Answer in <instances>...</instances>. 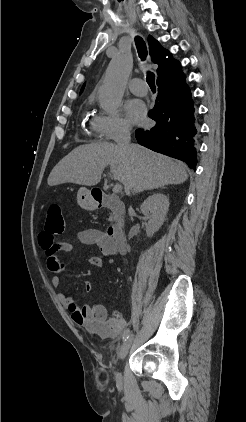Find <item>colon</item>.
<instances>
[{"instance_id": "obj_1", "label": "colon", "mask_w": 246, "mask_h": 422, "mask_svg": "<svg viewBox=\"0 0 246 422\" xmlns=\"http://www.w3.org/2000/svg\"><path fill=\"white\" fill-rule=\"evenodd\" d=\"M45 229L55 235L61 234L64 230V217L58 202H52L48 207Z\"/></svg>"}]
</instances>
